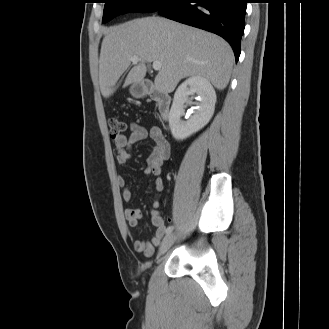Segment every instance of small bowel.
<instances>
[{
  "mask_svg": "<svg viewBox=\"0 0 329 329\" xmlns=\"http://www.w3.org/2000/svg\"><path fill=\"white\" fill-rule=\"evenodd\" d=\"M130 134L115 138L114 145L117 149V162L121 165L126 164L131 157L132 147L147 138L154 143L152 153L147 158V166L144 173L147 176L155 177L156 193L153 199V210L151 211V222L155 227V234L149 241L135 240L134 250L142 253L145 257H151L155 249L162 244L163 236L166 232L163 218L158 210L164 190V181L162 178V165L170 156V145L164 137L162 130L158 126L145 127L138 123L130 124ZM118 184L122 187V198L125 202L132 199V191L127 186L126 179L123 176L118 178ZM125 218L128 226L135 229L139 220L142 218V212L136 208H127L125 210Z\"/></svg>",
  "mask_w": 329,
  "mask_h": 329,
  "instance_id": "1",
  "label": "small bowel"
}]
</instances>
